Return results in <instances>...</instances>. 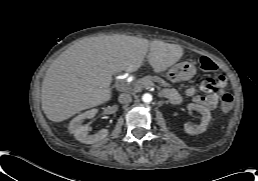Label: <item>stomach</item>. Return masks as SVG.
<instances>
[{"instance_id": "obj_1", "label": "stomach", "mask_w": 258, "mask_h": 181, "mask_svg": "<svg viewBox=\"0 0 258 181\" xmlns=\"http://www.w3.org/2000/svg\"><path fill=\"white\" fill-rule=\"evenodd\" d=\"M190 70L191 66H188L187 63H179L172 68L171 73L174 76H185L186 73Z\"/></svg>"}]
</instances>
